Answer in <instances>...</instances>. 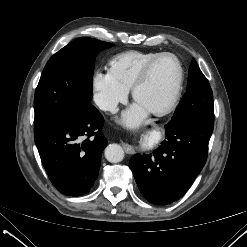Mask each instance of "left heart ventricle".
<instances>
[{
  "label": "left heart ventricle",
  "mask_w": 247,
  "mask_h": 247,
  "mask_svg": "<svg viewBox=\"0 0 247 247\" xmlns=\"http://www.w3.org/2000/svg\"><path fill=\"white\" fill-rule=\"evenodd\" d=\"M178 78V66L171 57L160 59L138 89L136 102L147 110L163 106L171 97Z\"/></svg>",
  "instance_id": "1"
}]
</instances>
